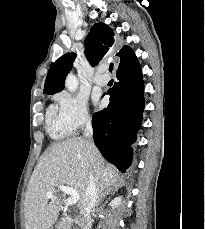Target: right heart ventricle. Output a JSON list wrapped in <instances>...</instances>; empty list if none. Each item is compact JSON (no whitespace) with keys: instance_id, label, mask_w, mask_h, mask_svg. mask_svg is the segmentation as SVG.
<instances>
[{"instance_id":"1","label":"right heart ventricle","mask_w":205,"mask_h":229,"mask_svg":"<svg viewBox=\"0 0 205 229\" xmlns=\"http://www.w3.org/2000/svg\"><path fill=\"white\" fill-rule=\"evenodd\" d=\"M46 129L49 136L54 140H62L72 134V130L62 120L53 106H50L46 114Z\"/></svg>"}]
</instances>
